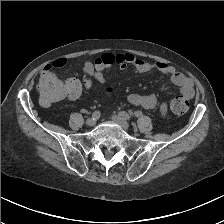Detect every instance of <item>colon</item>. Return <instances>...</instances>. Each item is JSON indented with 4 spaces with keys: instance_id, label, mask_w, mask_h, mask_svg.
Segmentation results:
<instances>
[{
    "instance_id": "obj_1",
    "label": "colon",
    "mask_w": 224,
    "mask_h": 224,
    "mask_svg": "<svg viewBox=\"0 0 224 224\" xmlns=\"http://www.w3.org/2000/svg\"><path fill=\"white\" fill-rule=\"evenodd\" d=\"M86 87L87 83H81L77 80L63 83L51 77L40 82L39 91L46 103H53L64 97L77 98ZM170 109L172 113L182 115L188 111L189 101L184 96H176L170 102Z\"/></svg>"
}]
</instances>
